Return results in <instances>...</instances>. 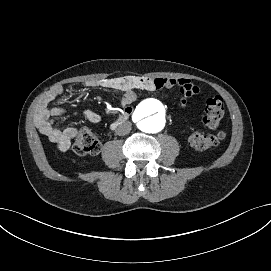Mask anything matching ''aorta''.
Returning a JSON list of instances; mask_svg holds the SVG:
<instances>
[{"label": "aorta", "mask_w": 271, "mask_h": 271, "mask_svg": "<svg viewBox=\"0 0 271 271\" xmlns=\"http://www.w3.org/2000/svg\"><path fill=\"white\" fill-rule=\"evenodd\" d=\"M133 120L145 133H157L166 124V110L164 105L156 99H146L140 102L134 113Z\"/></svg>", "instance_id": "762f6f07"}]
</instances>
